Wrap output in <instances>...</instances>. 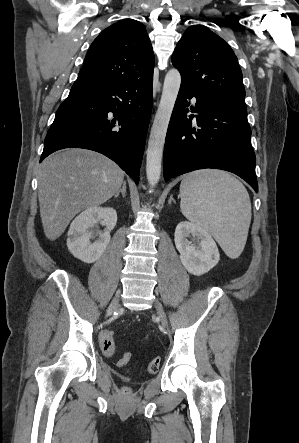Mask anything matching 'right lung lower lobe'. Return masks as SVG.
Instances as JSON below:
<instances>
[{
    "instance_id": "98d812e1",
    "label": "right lung lower lobe",
    "mask_w": 299,
    "mask_h": 443,
    "mask_svg": "<svg viewBox=\"0 0 299 443\" xmlns=\"http://www.w3.org/2000/svg\"><path fill=\"white\" fill-rule=\"evenodd\" d=\"M153 76L72 88L47 132L40 162L64 148H84L115 161L136 184L152 109Z\"/></svg>"
}]
</instances>
